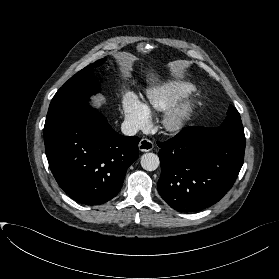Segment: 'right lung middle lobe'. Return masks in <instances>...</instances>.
<instances>
[{"instance_id": "obj_1", "label": "right lung middle lobe", "mask_w": 279, "mask_h": 279, "mask_svg": "<svg viewBox=\"0 0 279 279\" xmlns=\"http://www.w3.org/2000/svg\"><path fill=\"white\" fill-rule=\"evenodd\" d=\"M104 61L100 59L77 72L57 91L50 103L45 125L55 122L91 94L99 92L100 85L93 70Z\"/></svg>"}]
</instances>
